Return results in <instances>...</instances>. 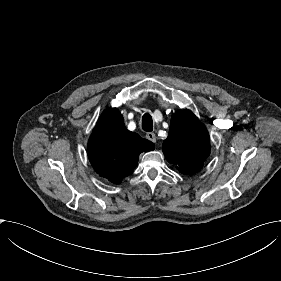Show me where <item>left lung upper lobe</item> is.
I'll list each match as a JSON object with an SVG mask.
<instances>
[{
	"label": "left lung upper lobe",
	"instance_id": "1",
	"mask_svg": "<svg viewBox=\"0 0 281 281\" xmlns=\"http://www.w3.org/2000/svg\"><path fill=\"white\" fill-rule=\"evenodd\" d=\"M163 153L182 174H194L203 167L210 153L209 134L191 111H177L172 115Z\"/></svg>",
	"mask_w": 281,
	"mask_h": 281
}]
</instances>
